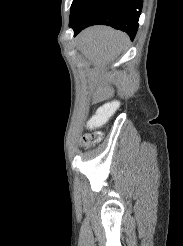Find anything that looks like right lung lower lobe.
I'll list each match as a JSON object with an SVG mask.
<instances>
[{"label": "right lung lower lobe", "instance_id": "obj_1", "mask_svg": "<svg viewBox=\"0 0 183 246\" xmlns=\"http://www.w3.org/2000/svg\"><path fill=\"white\" fill-rule=\"evenodd\" d=\"M142 6L143 0H81L70 16L69 26L76 36L88 26L109 25L126 32L133 40Z\"/></svg>", "mask_w": 183, "mask_h": 246}]
</instances>
